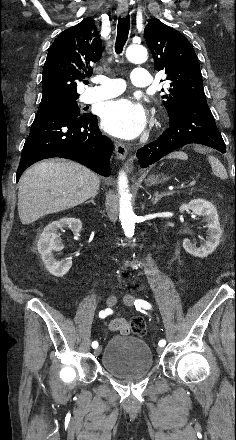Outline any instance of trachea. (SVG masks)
<instances>
[{
  "instance_id": "trachea-1",
  "label": "trachea",
  "mask_w": 236,
  "mask_h": 440,
  "mask_svg": "<svg viewBox=\"0 0 236 440\" xmlns=\"http://www.w3.org/2000/svg\"><path fill=\"white\" fill-rule=\"evenodd\" d=\"M130 29V16H126L123 18H119L118 26H117V38L115 44V51L117 54H120L123 50V47L127 41L128 34Z\"/></svg>"
}]
</instances>
